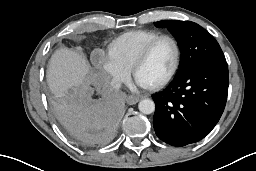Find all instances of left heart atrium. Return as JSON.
Wrapping results in <instances>:
<instances>
[{"label":"left heart atrium","mask_w":256,"mask_h":171,"mask_svg":"<svg viewBox=\"0 0 256 171\" xmlns=\"http://www.w3.org/2000/svg\"><path fill=\"white\" fill-rule=\"evenodd\" d=\"M136 83H137V85L140 86V87H146L145 84H143L142 82H140V81L137 80V79H136Z\"/></svg>","instance_id":"left-heart-atrium-1"}]
</instances>
